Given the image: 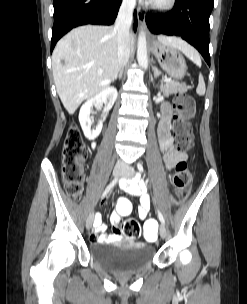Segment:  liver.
I'll return each mask as SVG.
<instances>
[{
  "label": "liver",
  "instance_id": "obj_1",
  "mask_svg": "<svg viewBox=\"0 0 247 304\" xmlns=\"http://www.w3.org/2000/svg\"><path fill=\"white\" fill-rule=\"evenodd\" d=\"M134 40L131 35V47ZM158 40L186 56L197 53L179 38L158 36ZM119 69L117 32L110 26L77 27L58 41L52 54L57 93L70 115L84 100L107 88Z\"/></svg>",
  "mask_w": 247,
  "mask_h": 304
}]
</instances>
